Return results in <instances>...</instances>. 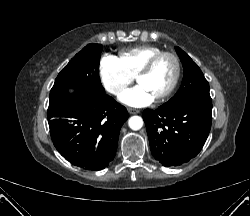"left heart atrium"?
<instances>
[{
    "label": "left heart atrium",
    "mask_w": 250,
    "mask_h": 216,
    "mask_svg": "<svg viewBox=\"0 0 250 216\" xmlns=\"http://www.w3.org/2000/svg\"><path fill=\"white\" fill-rule=\"evenodd\" d=\"M153 99V95L142 84L136 85L120 97L122 103L131 107L146 106L150 104Z\"/></svg>",
    "instance_id": "39dd6f15"
}]
</instances>
